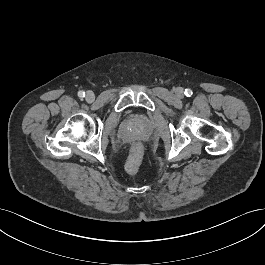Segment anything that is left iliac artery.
Returning a JSON list of instances; mask_svg holds the SVG:
<instances>
[{"label": "left iliac artery", "mask_w": 265, "mask_h": 265, "mask_svg": "<svg viewBox=\"0 0 265 265\" xmlns=\"http://www.w3.org/2000/svg\"><path fill=\"white\" fill-rule=\"evenodd\" d=\"M184 93H185L186 96H189V97L193 94L191 89H185Z\"/></svg>", "instance_id": "left-iliac-artery-1"}]
</instances>
